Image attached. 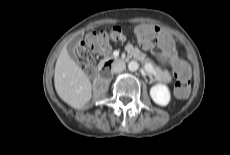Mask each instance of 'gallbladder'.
<instances>
[{"label": "gallbladder", "mask_w": 230, "mask_h": 155, "mask_svg": "<svg viewBox=\"0 0 230 155\" xmlns=\"http://www.w3.org/2000/svg\"><path fill=\"white\" fill-rule=\"evenodd\" d=\"M79 40H80V37L73 39L72 42L67 47V52L69 56L72 57L73 59H76L75 48Z\"/></svg>", "instance_id": "gallbladder-1"}]
</instances>
